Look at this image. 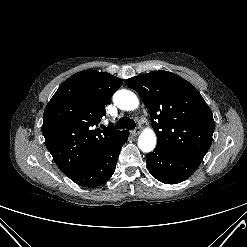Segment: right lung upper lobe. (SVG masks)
Masks as SVG:
<instances>
[{
    "label": "right lung upper lobe",
    "instance_id": "1",
    "mask_svg": "<svg viewBox=\"0 0 247 247\" xmlns=\"http://www.w3.org/2000/svg\"><path fill=\"white\" fill-rule=\"evenodd\" d=\"M122 83L111 74L84 70L65 80L47 104L42 125L45 145L67 177L125 131L93 129L106 115L105 105Z\"/></svg>",
    "mask_w": 247,
    "mask_h": 247
}]
</instances>
